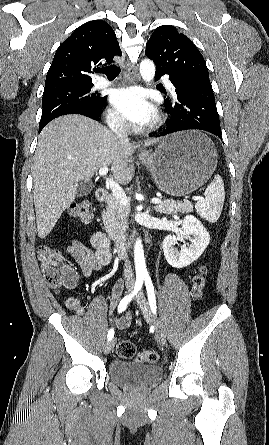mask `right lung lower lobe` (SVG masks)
<instances>
[{"mask_svg":"<svg viewBox=\"0 0 269 445\" xmlns=\"http://www.w3.org/2000/svg\"><path fill=\"white\" fill-rule=\"evenodd\" d=\"M105 103H106V97H105L104 103L102 104L101 108H100L96 113H94V114H91V113H83V114H81V115L87 116V117L92 118V119H94V120H99V116H100V114H101V111H102V109H103ZM41 130H42V129H41ZM41 130L39 129V131H41Z\"/></svg>","mask_w":269,"mask_h":445,"instance_id":"right-lung-lower-lobe-1","label":"right lung lower lobe"}]
</instances>
